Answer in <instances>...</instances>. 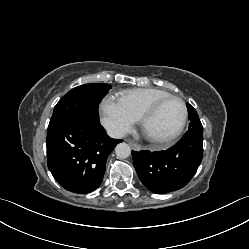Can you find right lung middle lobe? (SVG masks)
<instances>
[{"instance_id": "obj_1", "label": "right lung middle lobe", "mask_w": 249, "mask_h": 249, "mask_svg": "<svg viewBox=\"0 0 249 249\" xmlns=\"http://www.w3.org/2000/svg\"><path fill=\"white\" fill-rule=\"evenodd\" d=\"M110 88L109 84H85L70 90L54 107L48 131L79 119L98 120V105Z\"/></svg>"}]
</instances>
